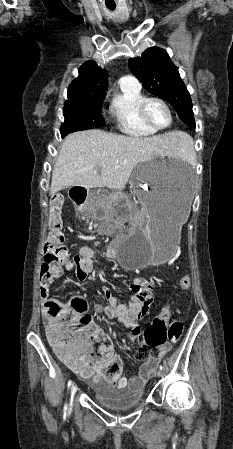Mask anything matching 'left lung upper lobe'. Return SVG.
Instances as JSON below:
<instances>
[{
	"label": "left lung upper lobe",
	"instance_id": "obj_1",
	"mask_svg": "<svg viewBox=\"0 0 233 449\" xmlns=\"http://www.w3.org/2000/svg\"><path fill=\"white\" fill-rule=\"evenodd\" d=\"M128 65L148 92L170 103L179 118L195 128L190 94L165 50L151 47L141 57L129 59Z\"/></svg>",
	"mask_w": 233,
	"mask_h": 449
}]
</instances>
